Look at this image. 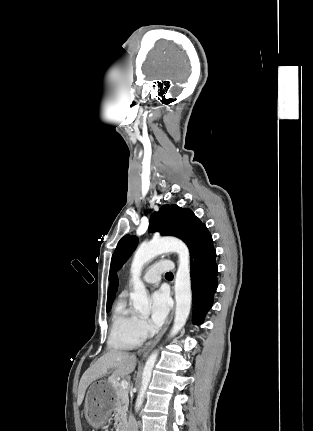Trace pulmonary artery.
<instances>
[{
    "instance_id": "e3ab8cb5",
    "label": "pulmonary artery",
    "mask_w": 313,
    "mask_h": 431,
    "mask_svg": "<svg viewBox=\"0 0 313 431\" xmlns=\"http://www.w3.org/2000/svg\"><path fill=\"white\" fill-rule=\"evenodd\" d=\"M173 268L172 263L161 260L151 265L143 276V281L148 285H157L160 282L161 274Z\"/></svg>"
}]
</instances>
